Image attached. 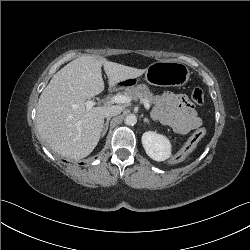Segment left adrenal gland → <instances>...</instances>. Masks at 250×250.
Listing matches in <instances>:
<instances>
[{
	"instance_id": "left-adrenal-gland-1",
	"label": "left adrenal gland",
	"mask_w": 250,
	"mask_h": 250,
	"mask_svg": "<svg viewBox=\"0 0 250 250\" xmlns=\"http://www.w3.org/2000/svg\"><path fill=\"white\" fill-rule=\"evenodd\" d=\"M143 121L149 124V120L147 118H144Z\"/></svg>"
}]
</instances>
